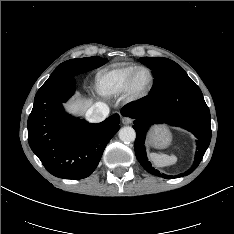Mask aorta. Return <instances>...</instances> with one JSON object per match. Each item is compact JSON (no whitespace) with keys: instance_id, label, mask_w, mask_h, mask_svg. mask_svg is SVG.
Instances as JSON below:
<instances>
[{"instance_id":"obj_1","label":"aorta","mask_w":234,"mask_h":234,"mask_svg":"<svg viewBox=\"0 0 234 234\" xmlns=\"http://www.w3.org/2000/svg\"><path fill=\"white\" fill-rule=\"evenodd\" d=\"M135 138H136V132L134 128L130 126H125L119 130V139L122 142L125 143L133 142Z\"/></svg>"}]
</instances>
